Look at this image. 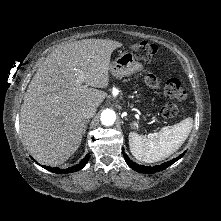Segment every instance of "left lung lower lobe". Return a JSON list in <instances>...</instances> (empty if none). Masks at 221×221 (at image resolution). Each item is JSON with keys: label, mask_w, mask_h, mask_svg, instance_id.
Returning a JSON list of instances; mask_svg holds the SVG:
<instances>
[{"label": "left lung lower lobe", "mask_w": 221, "mask_h": 221, "mask_svg": "<svg viewBox=\"0 0 221 221\" xmlns=\"http://www.w3.org/2000/svg\"><path fill=\"white\" fill-rule=\"evenodd\" d=\"M185 154L182 153L180 156H178L177 158H174L173 160L171 161H168V162H165L161 165H158V166H154V167H147V166H142V165H139V164H136L135 162L131 161L127 155H125V153L123 152V155H124V159L126 161V163L128 164V166L130 168H132L133 170L137 171V172H140V173H146V174H152V173H156V172H160L164 169H166L167 167H169L170 165H172L174 162H176L177 160H179L181 157H183Z\"/></svg>", "instance_id": "left-lung-lower-lobe-1"}]
</instances>
